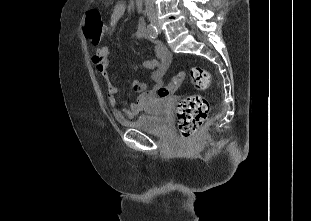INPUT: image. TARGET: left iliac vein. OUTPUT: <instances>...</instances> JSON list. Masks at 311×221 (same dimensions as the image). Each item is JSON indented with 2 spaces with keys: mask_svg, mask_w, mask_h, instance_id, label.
<instances>
[{
  "mask_svg": "<svg viewBox=\"0 0 311 221\" xmlns=\"http://www.w3.org/2000/svg\"><path fill=\"white\" fill-rule=\"evenodd\" d=\"M156 25H157L158 31L161 32V27L159 26V24H156Z\"/></svg>",
  "mask_w": 311,
  "mask_h": 221,
  "instance_id": "obj_1",
  "label": "left iliac vein"
}]
</instances>
